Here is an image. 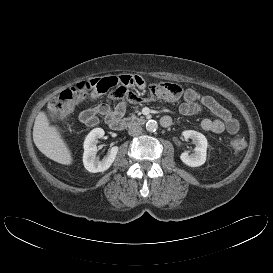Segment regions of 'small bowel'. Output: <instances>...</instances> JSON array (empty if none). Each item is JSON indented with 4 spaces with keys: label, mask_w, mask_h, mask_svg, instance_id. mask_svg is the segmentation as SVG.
<instances>
[{
    "label": "small bowel",
    "mask_w": 273,
    "mask_h": 273,
    "mask_svg": "<svg viewBox=\"0 0 273 273\" xmlns=\"http://www.w3.org/2000/svg\"><path fill=\"white\" fill-rule=\"evenodd\" d=\"M137 87L141 90L146 89V82L137 76ZM136 101L132 103H140L143 99L139 94L135 93ZM126 110V102L121 101L114 107L102 103L93 108L86 109L79 114V120L87 126H95L99 122V115H102L106 120L110 116L123 115ZM203 110L211 112L215 119L205 118L200 122V127L204 131L213 133H222L227 131L230 134H235L239 130L238 121L233 118L231 113L223 107L212 96L203 95L195 89L189 88L184 92L183 101L179 106V112L182 115L190 116L201 113ZM170 119V117L166 116ZM171 120V119H170Z\"/></svg>",
    "instance_id": "small-bowel-1"
}]
</instances>
